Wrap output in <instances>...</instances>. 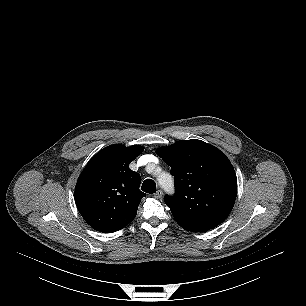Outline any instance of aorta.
Masks as SVG:
<instances>
[{"label": "aorta", "instance_id": "obj_1", "mask_svg": "<svg viewBox=\"0 0 306 306\" xmlns=\"http://www.w3.org/2000/svg\"><path fill=\"white\" fill-rule=\"evenodd\" d=\"M159 185L167 192H172L174 189L173 178L168 173H162L158 176Z\"/></svg>", "mask_w": 306, "mask_h": 306}]
</instances>
